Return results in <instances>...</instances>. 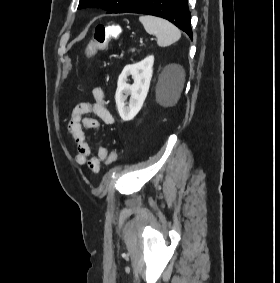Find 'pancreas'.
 I'll return each instance as SVG.
<instances>
[{"instance_id": "1", "label": "pancreas", "mask_w": 280, "mask_h": 283, "mask_svg": "<svg viewBox=\"0 0 280 283\" xmlns=\"http://www.w3.org/2000/svg\"><path fill=\"white\" fill-rule=\"evenodd\" d=\"M135 51V49H131V52H134Z\"/></svg>"}]
</instances>
